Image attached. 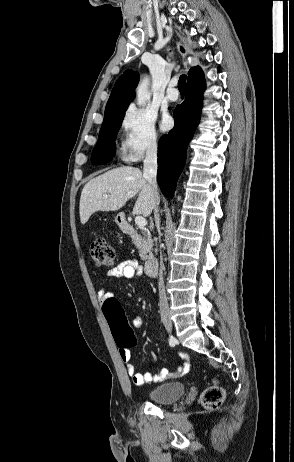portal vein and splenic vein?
<instances>
[{
	"label": "portal vein and splenic vein",
	"mask_w": 294,
	"mask_h": 462,
	"mask_svg": "<svg viewBox=\"0 0 294 462\" xmlns=\"http://www.w3.org/2000/svg\"><path fill=\"white\" fill-rule=\"evenodd\" d=\"M107 195H104V198H107ZM135 223L138 227L143 228L147 225V221L144 217L142 216H136L135 217Z\"/></svg>",
	"instance_id": "18ae733b"
}]
</instances>
